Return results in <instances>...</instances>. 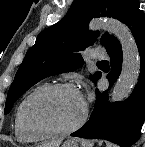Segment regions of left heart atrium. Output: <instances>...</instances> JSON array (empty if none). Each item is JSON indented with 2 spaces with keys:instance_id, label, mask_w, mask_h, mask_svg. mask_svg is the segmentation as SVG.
Wrapping results in <instances>:
<instances>
[{
  "instance_id": "39dd6f15",
  "label": "left heart atrium",
  "mask_w": 145,
  "mask_h": 147,
  "mask_svg": "<svg viewBox=\"0 0 145 147\" xmlns=\"http://www.w3.org/2000/svg\"><path fill=\"white\" fill-rule=\"evenodd\" d=\"M80 96H81V98H82V99H83V101H84V95L80 93Z\"/></svg>"
}]
</instances>
